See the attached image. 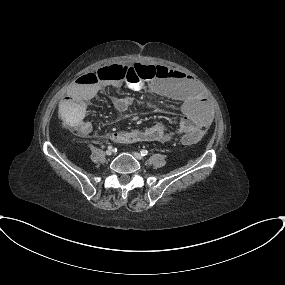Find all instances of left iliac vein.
Segmentation results:
<instances>
[{
	"mask_svg": "<svg viewBox=\"0 0 285 285\" xmlns=\"http://www.w3.org/2000/svg\"><path fill=\"white\" fill-rule=\"evenodd\" d=\"M132 154L138 160H142L143 159V157L141 156V154L139 152L133 151Z\"/></svg>",
	"mask_w": 285,
	"mask_h": 285,
	"instance_id": "1",
	"label": "left iliac vein"
}]
</instances>
